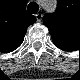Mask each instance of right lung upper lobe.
I'll return each mask as SVG.
<instances>
[{
    "label": "right lung upper lobe",
    "instance_id": "cb5924a9",
    "mask_svg": "<svg viewBox=\"0 0 80 80\" xmlns=\"http://www.w3.org/2000/svg\"><path fill=\"white\" fill-rule=\"evenodd\" d=\"M0 13V45L14 50L23 42L27 27L36 19L26 12L22 0H10Z\"/></svg>",
    "mask_w": 80,
    "mask_h": 80
}]
</instances>
